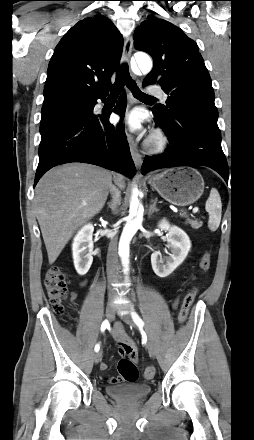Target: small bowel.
Instances as JSON below:
<instances>
[{
    "label": "small bowel",
    "mask_w": 254,
    "mask_h": 440,
    "mask_svg": "<svg viewBox=\"0 0 254 440\" xmlns=\"http://www.w3.org/2000/svg\"><path fill=\"white\" fill-rule=\"evenodd\" d=\"M75 296H76L75 294H72L73 299L75 298ZM112 335L115 342L118 345L119 354L127 356L133 361H136L139 353L138 347L136 343L133 341V339L126 333L120 322L115 323ZM100 368L101 370H106L108 368V365L105 362H103L101 363ZM122 381L123 379L121 376H116V377L113 376L108 378L109 384H117Z\"/></svg>",
    "instance_id": "small-bowel-1"
}]
</instances>
